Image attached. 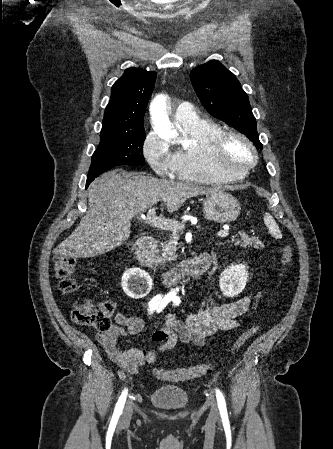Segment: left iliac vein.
I'll return each instance as SVG.
<instances>
[{
  "instance_id": "obj_1",
  "label": "left iliac vein",
  "mask_w": 333,
  "mask_h": 449,
  "mask_svg": "<svg viewBox=\"0 0 333 449\" xmlns=\"http://www.w3.org/2000/svg\"><path fill=\"white\" fill-rule=\"evenodd\" d=\"M210 419L211 420H218L219 419V411L217 408V405L215 401L211 402V411H210Z\"/></svg>"
}]
</instances>
